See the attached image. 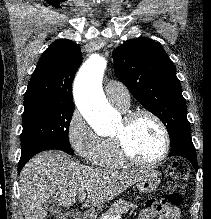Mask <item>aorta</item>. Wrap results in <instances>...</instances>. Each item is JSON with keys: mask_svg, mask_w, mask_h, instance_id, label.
I'll list each match as a JSON object with an SVG mask.
<instances>
[{"mask_svg": "<svg viewBox=\"0 0 211 219\" xmlns=\"http://www.w3.org/2000/svg\"><path fill=\"white\" fill-rule=\"evenodd\" d=\"M107 62L94 54L80 68L74 82V99L78 110L98 134H107L116 119V113L108 103L102 78Z\"/></svg>", "mask_w": 211, "mask_h": 219, "instance_id": "762f6f07", "label": "aorta"}]
</instances>
